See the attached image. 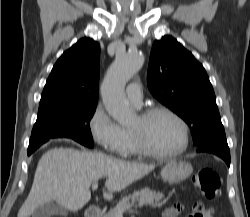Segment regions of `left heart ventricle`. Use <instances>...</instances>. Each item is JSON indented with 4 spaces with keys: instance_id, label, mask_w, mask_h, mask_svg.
I'll return each mask as SVG.
<instances>
[{
    "instance_id": "1",
    "label": "left heart ventricle",
    "mask_w": 250,
    "mask_h": 217,
    "mask_svg": "<svg viewBox=\"0 0 250 217\" xmlns=\"http://www.w3.org/2000/svg\"><path fill=\"white\" fill-rule=\"evenodd\" d=\"M131 130L139 132L147 143L159 152H170L182 143V131L179 124L165 113H157L142 121L136 119Z\"/></svg>"
}]
</instances>
